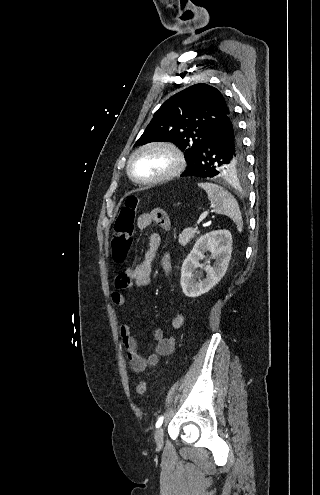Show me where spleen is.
I'll return each instance as SVG.
<instances>
[{
  "label": "spleen",
  "instance_id": "3e777b00",
  "mask_svg": "<svg viewBox=\"0 0 320 495\" xmlns=\"http://www.w3.org/2000/svg\"><path fill=\"white\" fill-rule=\"evenodd\" d=\"M198 186L206 191L208 199L214 203L216 213L226 215L232 219L236 224L237 230L241 232L243 221L236 199L219 185L199 183Z\"/></svg>",
  "mask_w": 320,
  "mask_h": 495
}]
</instances>
